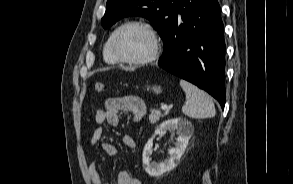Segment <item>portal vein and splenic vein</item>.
Returning a JSON list of instances; mask_svg holds the SVG:
<instances>
[{"label": "portal vein and splenic vein", "instance_id": "1", "mask_svg": "<svg viewBox=\"0 0 293 184\" xmlns=\"http://www.w3.org/2000/svg\"><path fill=\"white\" fill-rule=\"evenodd\" d=\"M161 109L162 110H167L168 109V106L164 104V105L161 106Z\"/></svg>", "mask_w": 293, "mask_h": 184}]
</instances>
